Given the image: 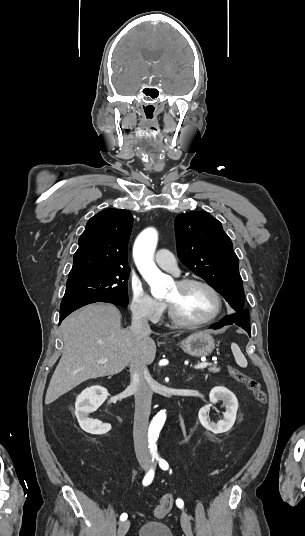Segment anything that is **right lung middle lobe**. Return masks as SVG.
Returning <instances> with one entry per match:
<instances>
[{"label":"right lung middle lobe","mask_w":305,"mask_h":536,"mask_svg":"<svg viewBox=\"0 0 305 536\" xmlns=\"http://www.w3.org/2000/svg\"><path fill=\"white\" fill-rule=\"evenodd\" d=\"M130 270L92 272L69 277L62 302L89 300L128 304Z\"/></svg>","instance_id":"dd1d6c3e"}]
</instances>
